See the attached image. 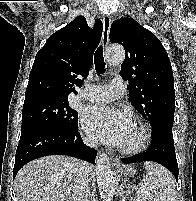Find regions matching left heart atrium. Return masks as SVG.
<instances>
[{"instance_id":"39dd6f15","label":"left heart atrium","mask_w":196,"mask_h":201,"mask_svg":"<svg viewBox=\"0 0 196 201\" xmlns=\"http://www.w3.org/2000/svg\"><path fill=\"white\" fill-rule=\"evenodd\" d=\"M82 124L95 140L121 146L134 123L127 110L94 105L84 110Z\"/></svg>"}]
</instances>
